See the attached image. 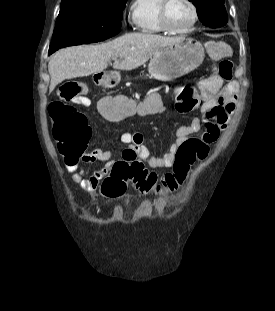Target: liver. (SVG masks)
<instances>
[{"mask_svg": "<svg viewBox=\"0 0 275 311\" xmlns=\"http://www.w3.org/2000/svg\"><path fill=\"white\" fill-rule=\"evenodd\" d=\"M182 38L165 37L150 33H128L100 45L68 47L53 55L48 64L51 77L49 91L65 79L89 76L102 72L111 59L119 70H133L153 57L160 49Z\"/></svg>", "mask_w": 275, "mask_h": 311, "instance_id": "obj_1", "label": "liver"}]
</instances>
